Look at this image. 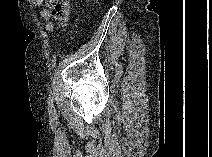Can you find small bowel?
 Segmentation results:
<instances>
[{"mask_svg":"<svg viewBox=\"0 0 212 157\" xmlns=\"http://www.w3.org/2000/svg\"><path fill=\"white\" fill-rule=\"evenodd\" d=\"M32 5L39 8V13L42 19L45 21L43 24V28L47 32H51L53 30V23L50 20V13L47 9L43 7V1L42 0H32Z\"/></svg>","mask_w":212,"mask_h":157,"instance_id":"small-bowel-1","label":"small bowel"}]
</instances>
